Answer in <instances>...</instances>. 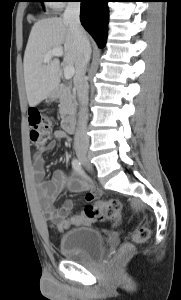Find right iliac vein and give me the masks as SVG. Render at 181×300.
Masks as SVG:
<instances>
[{"mask_svg":"<svg viewBox=\"0 0 181 300\" xmlns=\"http://www.w3.org/2000/svg\"><path fill=\"white\" fill-rule=\"evenodd\" d=\"M78 159L85 163L88 168H90L89 162H88V154L86 152H78L77 153Z\"/></svg>","mask_w":181,"mask_h":300,"instance_id":"obj_1","label":"right iliac vein"}]
</instances>
